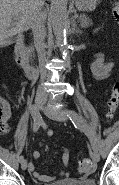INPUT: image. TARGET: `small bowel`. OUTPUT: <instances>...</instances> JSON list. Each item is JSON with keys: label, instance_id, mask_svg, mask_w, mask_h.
<instances>
[{"label": "small bowel", "instance_id": "1", "mask_svg": "<svg viewBox=\"0 0 119 185\" xmlns=\"http://www.w3.org/2000/svg\"><path fill=\"white\" fill-rule=\"evenodd\" d=\"M113 67H114V63L112 61H106L102 54H98L91 64V72L96 79L103 80L109 76ZM3 110H4V113L7 115L8 119H10L11 110L7 103L3 104ZM52 134L53 132L49 131V135H52ZM40 156H41L40 152L34 151L33 157L35 160H38ZM69 160H70V149L68 147H62V164L64 169L58 173L57 177H65L68 175ZM28 170L33 175V177L40 182H49L56 178V177H51L48 175L41 174L35 169V166L33 163L29 164Z\"/></svg>", "mask_w": 119, "mask_h": 185}]
</instances>
